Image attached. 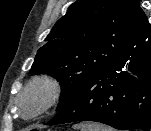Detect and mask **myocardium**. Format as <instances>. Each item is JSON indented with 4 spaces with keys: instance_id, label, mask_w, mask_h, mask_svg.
<instances>
[{
    "instance_id": "1",
    "label": "myocardium",
    "mask_w": 151,
    "mask_h": 131,
    "mask_svg": "<svg viewBox=\"0 0 151 131\" xmlns=\"http://www.w3.org/2000/svg\"><path fill=\"white\" fill-rule=\"evenodd\" d=\"M63 93L61 82L52 75H41L30 80L16 98V107L25 118H34L50 110L61 99ZM38 97L37 105L26 112L25 100L31 96Z\"/></svg>"
}]
</instances>
